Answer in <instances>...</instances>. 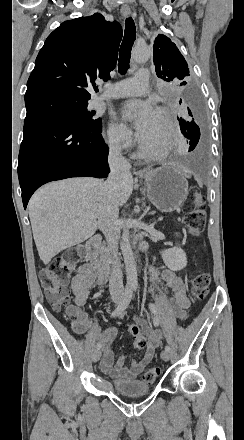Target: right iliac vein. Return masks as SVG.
<instances>
[{
  "label": "right iliac vein",
  "mask_w": 244,
  "mask_h": 440,
  "mask_svg": "<svg viewBox=\"0 0 244 440\" xmlns=\"http://www.w3.org/2000/svg\"><path fill=\"white\" fill-rule=\"evenodd\" d=\"M113 302L116 304H119L121 302V299L119 297L113 296L112 298ZM102 351L101 350H95L92 354V361L97 362L101 358Z\"/></svg>",
  "instance_id": "obj_1"
}]
</instances>
